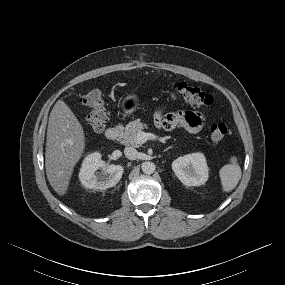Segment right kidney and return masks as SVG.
<instances>
[{
  "mask_svg": "<svg viewBox=\"0 0 285 285\" xmlns=\"http://www.w3.org/2000/svg\"><path fill=\"white\" fill-rule=\"evenodd\" d=\"M101 169V172H98ZM123 174L121 165L106 164L101 159L99 152H94L85 157L79 172L81 184L89 189L106 190L114 187Z\"/></svg>",
  "mask_w": 285,
  "mask_h": 285,
  "instance_id": "1",
  "label": "right kidney"
}]
</instances>
